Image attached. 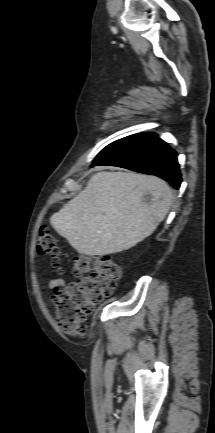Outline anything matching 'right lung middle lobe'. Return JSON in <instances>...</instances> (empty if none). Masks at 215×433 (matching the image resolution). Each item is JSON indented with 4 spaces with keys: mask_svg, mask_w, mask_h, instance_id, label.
I'll list each match as a JSON object with an SVG mask.
<instances>
[{
    "mask_svg": "<svg viewBox=\"0 0 215 433\" xmlns=\"http://www.w3.org/2000/svg\"><path fill=\"white\" fill-rule=\"evenodd\" d=\"M138 136V134L132 135V136H128L122 139H119L111 144H109L108 146H106L93 160V163L91 165V167H93L94 165L101 163L107 159H109L111 156L115 155L116 153H118L119 151H121L123 148H125L128 144H130L136 137Z\"/></svg>",
    "mask_w": 215,
    "mask_h": 433,
    "instance_id": "obj_1",
    "label": "right lung middle lobe"
}]
</instances>
